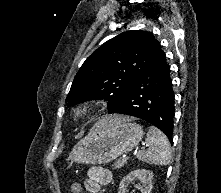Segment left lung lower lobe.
Listing matches in <instances>:
<instances>
[{"instance_id":"0a47b994","label":"left lung lower lobe","mask_w":221,"mask_h":193,"mask_svg":"<svg viewBox=\"0 0 221 193\" xmlns=\"http://www.w3.org/2000/svg\"><path fill=\"white\" fill-rule=\"evenodd\" d=\"M175 94L165 53L131 84L125 98L109 110L143 119L163 131L172 144Z\"/></svg>"}]
</instances>
